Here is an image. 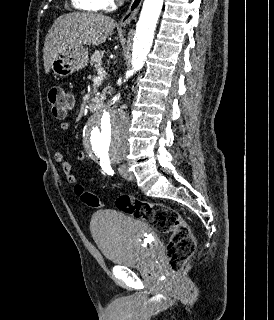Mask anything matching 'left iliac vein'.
<instances>
[{
  "label": "left iliac vein",
  "mask_w": 274,
  "mask_h": 320,
  "mask_svg": "<svg viewBox=\"0 0 274 320\" xmlns=\"http://www.w3.org/2000/svg\"><path fill=\"white\" fill-rule=\"evenodd\" d=\"M120 175L126 179V180H133L134 175L128 170L127 166L125 164H122L118 168Z\"/></svg>",
  "instance_id": "1"
}]
</instances>
